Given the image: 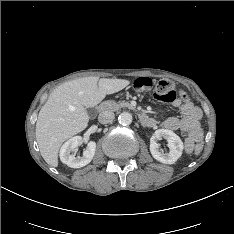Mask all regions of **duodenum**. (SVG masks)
Returning a JSON list of instances; mask_svg holds the SVG:
<instances>
[{
	"label": "duodenum",
	"mask_w": 234,
	"mask_h": 234,
	"mask_svg": "<svg viewBox=\"0 0 234 234\" xmlns=\"http://www.w3.org/2000/svg\"><path fill=\"white\" fill-rule=\"evenodd\" d=\"M110 108V105L109 104H103L101 107H100V111L101 112H105V111H108ZM139 118H140V121L143 123V124H147L149 122V117L146 116L145 114L141 113L139 114Z\"/></svg>",
	"instance_id": "1"
}]
</instances>
